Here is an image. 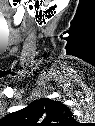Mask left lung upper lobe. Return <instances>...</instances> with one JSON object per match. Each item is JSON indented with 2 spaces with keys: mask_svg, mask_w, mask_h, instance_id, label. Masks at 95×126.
Instances as JSON below:
<instances>
[{
  "mask_svg": "<svg viewBox=\"0 0 95 126\" xmlns=\"http://www.w3.org/2000/svg\"><path fill=\"white\" fill-rule=\"evenodd\" d=\"M6 118L9 124L17 126H71L74 120L66 105L49 98L35 100Z\"/></svg>",
  "mask_w": 95,
  "mask_h": 126,
  "instance_id": "5c2ea615",
  "label": "left lung upper lobe"
}]
</instances>
